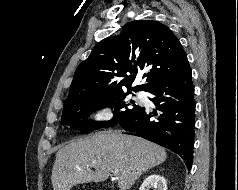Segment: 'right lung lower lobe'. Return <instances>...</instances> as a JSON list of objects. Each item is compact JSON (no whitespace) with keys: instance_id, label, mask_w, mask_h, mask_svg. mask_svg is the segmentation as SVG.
<instances>
[{"instance_id":"right-lung-lower-lobe-1","label":"right lung lower lobe","mask_w":238,"mask_h":190,"mask_svg":"<svg viewBox=\"0 0 238 190\" xmlns=\"http://www.w3.org/2000/svg\"><path fill=\"white\" fill-rule=\"evenodd\" d=\"M148 92L155 95L151 100L157 110L150 112L141 107L118 125L176 152L190 169L193 162L196 105L192 70L188 61L180 72Z\"/></svg>"}]
</instances>
